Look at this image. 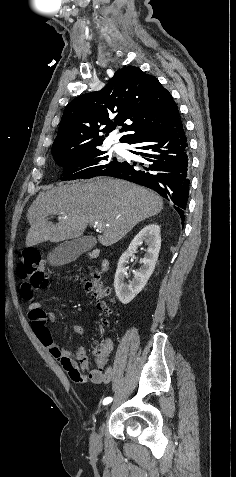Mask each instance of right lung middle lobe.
I'll return each instance as SVG.
<instances>
[{"instance_id": "1", "label": "right lung middle lobe", "mask_w": 236, "mask_h": 477, "mask_svg": "<svg viewBox=\"0 0 236 477\" xmlns=\"http://www.w3.org/2000/svg\"><path fill=\"white\" fill-rule=\"evenodd\" d=\"M54 160L64 170L65 180L90 179L96 176H106L123 161L112 158L102 152L99 147L53 155Z\"/></svg>"}]
</instances>
